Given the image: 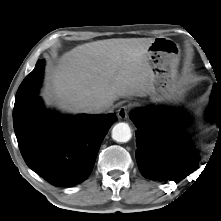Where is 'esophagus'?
I'll use <instances>...</instances> for the list:
<instances>
[{
    "instance_id": "1",
    "label": "esophagus",
    "mask_w": 221,
    "mask_h": 221,
    "mask_svg": "<svg viewBox=\"0 0 221 221\" xmlns=\"http://www.w3.org/2000/svg\"><path fill=\"white\" fill-rule=\"evenodd\" d=\"M129 112H130V106L123 105L118 109L117 114L120 119H126L128 117Z\"/></svg>"
}]
</instances>
